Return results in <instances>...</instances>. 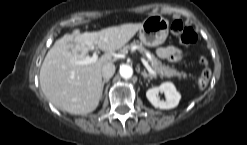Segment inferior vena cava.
I'll return each instance as SVG.
<instances>
[{"instance_id":"inferior-vena-cava-1","label":"inferior vena cava","mask_w":247,"mask_h":145,"mask_svg":"<svg viewBox=\"0 0 247 145\" xmlns=\"http://www.w3.org/2000/svg\"><path fill=\"white\" fill-rule=\"evenodd\" d=\"M115 73V65L107 62L102 66V76L104 79H110Z\"/></svg>"}]
</instances>
